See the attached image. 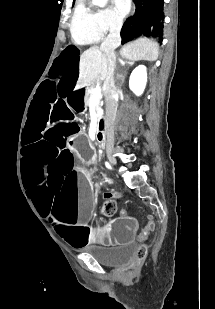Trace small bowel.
Here are the masks:
<instances>
[{"instance_id": "1", "label": "small bowel", "mask_w": 215, "mask_h": 309, "mask_svg": "<svg viewBox=\"0 0 215 309\" xmlns=\"http://www.w3.org/2000/svg\"><path fill=\"white\" fill-rule=\"evenodd\" d=\"M121 216H122V217H126V216H127V213H126L125 210H123V211L121 212ZM149 226H150V224H149ZM149 226H148V228H149Z\"/></svg>"}]
</instances>
